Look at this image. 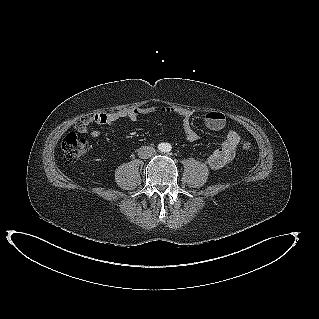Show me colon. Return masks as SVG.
Returning a JSON list of instances; mask_svg holds the SVG:
<instances>
[{
    "instance_id": "1",
    "label": "colon",
    "mask_w": 319,
    "mask_h": 319,
    "mask_svg": "<svg viewBox=\"0 0 319 319\" xmlns=\"http://www.w3.org/2000/svg\"><path fill=\"white\" fill-rule=\"evenodd\" d=\"M84 122L87 118L82 119ZM240 148L246 152L250 153L253 149L252 143L247 139H242L240 141ZM62 150L64 153V158L69 163H74L83 157L88 150V142L86 139L79 137L74 132H69L62 141Z\"/></svg>"
}]
</instances>
